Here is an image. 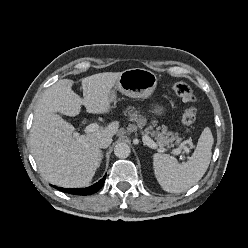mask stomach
I'll return each instance as SVG.
<instances>
[{
    "mask_svg": "<svg viewBox=\"0 0 248 248\" xmlns=\"http://www.w3.org/2000/svg\"><path fill=\"white\" fill-rule=\"evenodd\" d=\"M157 76L144 68H132L123 71L116 81L114 88L131 98H148L157 86ZM111 102L116 101V94L111 90L109 94ZM157 115H162L165 109L161 105H155L153 109Z\"/></svg>",
    "mask_w": 248,
    "mask_h": 248,
    "instance_id": "0dacf381",
    "label": "stomach"
}]
</instances>
